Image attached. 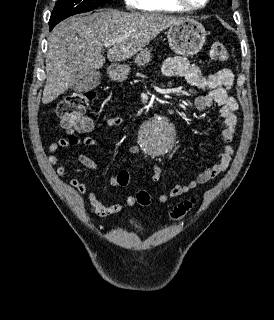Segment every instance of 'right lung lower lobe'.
<instances>
[{
  "label": "right lung lower lobe",
  "mask_w": 274,
  "mask_h": 320,
  "mask_svg": "<svg viewBox=\"0 0 274 320\" xmlns=\"http://www.w3.org/2000/svg\"><path fill=\"white\" fill-rule=\"evenodd\" d=\"M54 26H55V25H53V24H52V25L49 24V29H50V31L54 28Z\"/></svg>",
  "instance_id": "obj_1"
}]
</instances>
